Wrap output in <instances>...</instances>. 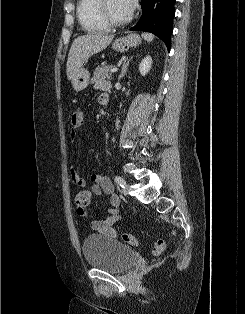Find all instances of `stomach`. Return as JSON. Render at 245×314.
Here are the masks:
<instances>
[{
    "label": "stomach",
    "mask_w": 245,
    "mask_h": 314,
    "mask_svg": "<svg viewBox=\"0 0 245 314\" xmlns=\"http://www.w3.org/2000/svg\"><path fill=\"white\" fill-rule=\"evenodd\" d=\"M141 43V38L137 34H129L115 40L112 47L117 52H125L131 47ZM90 74L87 69L81 68L72 79V86L75 91H83L89 84Z\"/></svg>",
    "instance_id": "1"
}]
</instances>
